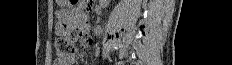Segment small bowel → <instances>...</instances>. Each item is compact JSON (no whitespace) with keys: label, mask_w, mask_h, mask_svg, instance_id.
Wrapping results in <instances>:
<instances>
[{"label":"small bowel","mask_w":232,"mask_h":65,"mask_svg":"<svg viewBox=\"0 0 232 65\" xmlns=\"http://www.w3.org/2000/svg\"><path fill=\"white\" fill-rule=\"evenodd\" d=\"M89 6H83L82 9H88ZM58 23L56 34L57 37H67V40H74V38H82V45L91 46L92 40L88 37L86 30L81 33L80 26H75V23H71V17H81V12H58ZM75 63V54L67 56L64 59L56 60L54 65H73Z\"/></svg>","instance_id":"obj_1"}]
</instances>
